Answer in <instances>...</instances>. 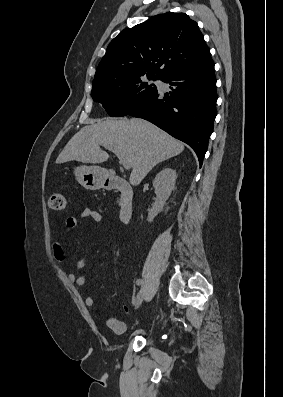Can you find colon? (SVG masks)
<instances>
[{"instance_id":"1","label":"colon","mask_w":283,"mask_h":397,"mask_svg":"<svg viewBox=\"0 0 283 397\" xmlns=\"http://www.w3.org/2000/svg\"><path fill=\"white\" fill-rule=\"evenodd\" d=\"M48 205L52 210H63L66 206L65 197L58 192H53L48 197Z\"/></svg>"}]
</instances>
